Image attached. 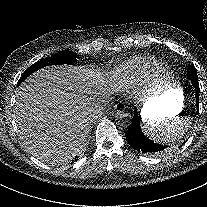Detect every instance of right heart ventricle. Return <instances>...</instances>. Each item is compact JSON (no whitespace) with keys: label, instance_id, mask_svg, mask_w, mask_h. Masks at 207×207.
Returning a JSON list of instances; mask_svg holds the SVG:
<instances>
[{"label":"right heart ventricle","instance_id":"obj_1","mask_svg":"<svg viewBox=\"0 0 207 207\" xmlns=\"http://www.w3.org/2000/svg\"><path fill=\"white\" fill-rule=\"evenodd\" d=\"M159 63V59L152 56L135 57L113 70L111 83L117 91L132 88L148 81Z\"/></svg>","mask_w":207,"mask_h":207}]
</instances>
